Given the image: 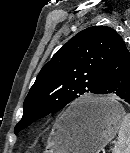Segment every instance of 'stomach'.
Instances as JSON below:
<instances>
[{"label":"stomach","mask_w":130,"mask_h":153,"mask_svg":"<svg viewBox=\"0 0 130 153\" xmlns=\"http://www.w3.org/2000/svg\"><path fill=\"white\" fill-rule=\"evenodd\" d=\"M83 108L88 114L76 116ZM124 116V109L113 97L80 99L52 130L48 153H99L115 137Z\"/></svg>","instance_id":"obj_1"}]
</instances>
